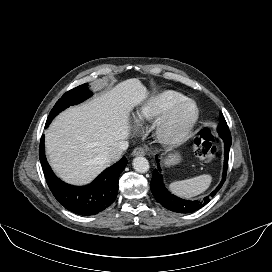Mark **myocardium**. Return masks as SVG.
I'll return each mask as SVG.
<instances>
[{
	"instance_id": "obj_1",
	"label": "myocardium",
	"mask_w": 272,
	"mask_h": 272,
	"mask_svg": "<svg viewBox=\"0 0 272 272\" xmlns=\"http://www.w3.org/2000/svg\"><path fill=\"white\" fill-rule=\"evenodd\" d=\"M184 105L194 107V115L189 124L179 132H170L169 124L175 112ZM200 117L197 103L189 98L182 99L172 104L156 121L155 137L157 141L167 147L178 146L189 139Z\"/></svg>"
}]
</instances>
